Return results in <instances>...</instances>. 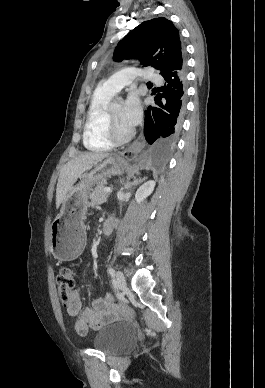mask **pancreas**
<instances>
[{"label": "pancreas", "mask_w": 265, "mask_h": 388, "mask_svg": "<svg viewBox=\"0 0 265 388\" xmlns=\"http://www.w3.org/2000/svg\"><path fill=\"white\" fill-rule=\"evenodd\" d=\"M91 206H99L107 202V192H104L103 182H97L94 190H92L90 196Z\"/></svg>", "instance_id": "cf45deb5"}]
</instances>
